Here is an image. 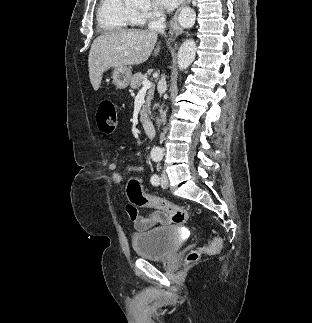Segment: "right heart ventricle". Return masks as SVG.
Returning a JSON list of instances; mask_svg holds the SVG:
<instances>
[{
    "mask_svg": "<svg viewBox=\"0 0 312 323\" xmlns=\"http://www.w3.org/2000/svg\"><path fill=\"white\" fill-rule=\"evenodd\" d=\"M99 1L93 13L99 29H129V25H140V20H144V13L132 9V5H124L123 0Z\"/></svg>",
    "mask_w": 312,
    "mask_h": 323,
    "instance_id": "obj_1",
    "label": "right heart ventricle"
}]
</instances>
